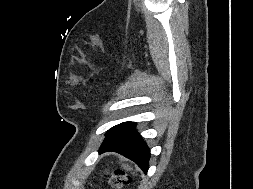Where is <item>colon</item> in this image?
<instances>
[{"mask_svg":"<svg viewBox=\"0 0 253 189\" xmlns=\"http://www.w3.org/2000/svg\"><path fill=\"white\" fill-rule=\"evenodd\" d=\"M109 182L112 187L120 188L128 183V178L124 172L116 170L109 174Z\"/></svg>","mask_w":253,"mask_h":189,"instance_id":"1","label":"colon"}]
</instances>
